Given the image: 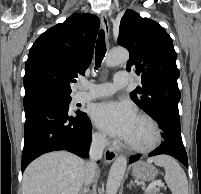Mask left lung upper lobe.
<instances>
[{"mask_svg": "<svg viewBox=\"0 0 201 194\" xmlns=\"http://www.w3.org/2000/svg\"><path fill=\"white\" fill-rule=\"evenodd\" d=\"M118 44L130 52L127 70L133 69L142 79L131 99L151 116L160 108L178 110L177 54L166 31L157 22L127 10L120 22Z\"/></svg>", "mask_w": 201, "mask_h": 194, "instance_id": "1", "label": "left lung upper lobe"}]
</instances>
